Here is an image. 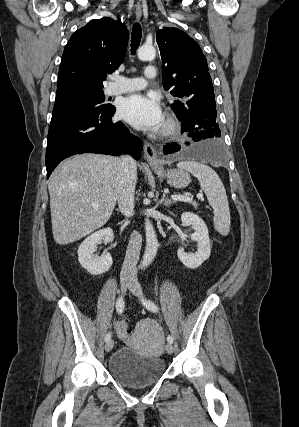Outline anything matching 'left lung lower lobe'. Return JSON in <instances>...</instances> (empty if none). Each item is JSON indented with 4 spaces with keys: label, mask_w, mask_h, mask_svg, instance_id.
Returning a JSON list of instances; mask_svg holds the SVG:
<instances>
[{
    "label": "left lung lower lobe",
    "mask_w": 299,
    "mask_h": 427,
    "mask_svg": "<svg viewBox=\"0 0 299 427\" xmlns=\"http://www.w3.org/2000/svg\"><path fill=\"white\" fill-rule=\"evenodd\" d=\"M182 122V132H188V136L195 142L211 139L202 143H189L186 152L191 155H197L213 161L223 162L225 160L220 144V134L213 127V119L210 117V109L205 106L186 108L180 117ZM181 147L177 144H168L164 146V154H171L179 151Z\"/></svg>",
    "instance_id": "0a47b994"
}]
</instances>
